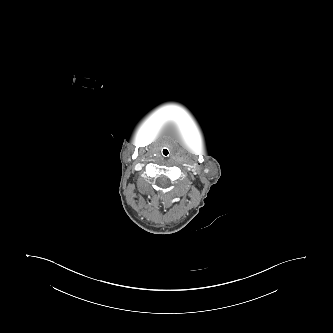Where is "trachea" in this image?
I'll return each mask as SVG.
<instances>
[{"mask_svg":"<svg viewBox=\"0 0 333 333\" xmlns=\"http://www.w3.org/2000/svg\"><path fill=\"white\" fill-rule=\"evenodd\" d=\"M163 154H164V155H167V154H168V150H167V149H164V150H163Z\"/></svg>","mask_w":333,"mask_h":333,"instance_id":"3493384b","label":"trachea"}]
</instances>
